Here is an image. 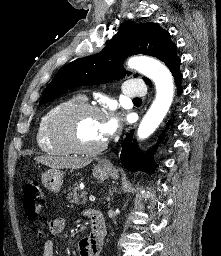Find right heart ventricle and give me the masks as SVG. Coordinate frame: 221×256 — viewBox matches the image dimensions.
I'll return each instance as SVG.
<instances>
[{
  "label": "right heart ventricle",
  "mask_w": 221,
  "mask_h": 256,
  "mask_svg": "<svg viewBox=\"0 0 221 256\" xmlns=\"http://www.w3.org/2000/svg\"><path fill=\"white\" fill-rule=\"evenodd\" d=\"M79 102H81V98L78 96H72L61 100L52 105L41 117L36 131V142L43 152L53 155L69 153L62 144L57 143L52 139L50 131L54 117L62 109Z\"/></svg>",
  "instance_id": "e07e8e85"
}]
</instances>
